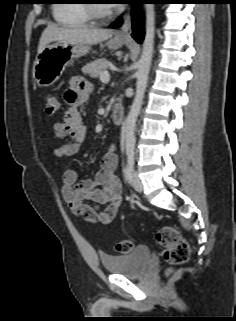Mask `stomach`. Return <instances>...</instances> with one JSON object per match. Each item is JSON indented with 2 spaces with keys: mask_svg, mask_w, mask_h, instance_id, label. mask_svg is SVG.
<instances>
[{
  "mask_svg": "<svg viewBox=\"0 0 236 321\" xmlns=\"http://www.w3.org/2000/svg\"><path fill=\"white\" fill-rule=\"evenodd\" d=\"M123 41L110 39L106 46L116 50L123 45ZM91 50L89 45L82 43L57 42L46 46L37 54L33 64V77L41 87L53 85L62 75L66 66Z\"/></svg>",
  "mask_w": 236,
  "mask_h": 321,
  "instance_id": "0dacf381",
  "label": "stomach"
}]
</instances>
